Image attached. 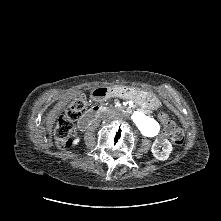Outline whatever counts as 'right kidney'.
<instances>
[{
    "label": "right kidney",
    "mask_w": 221,
    "mask_h": 221,
    "mask_svg": "<svg viewBox=\"0 0 221 221\" xmlns=\"http://www.w3.org/2000/svg\"><path fill=\"white\" fill-rule=\"evenodd\" d=\"M79 142H80V138L77 137V138L74 139L73 144L77 145Z\"/></svg>",
    "instance_id": "right-kidney-1"
}]
</instances>
